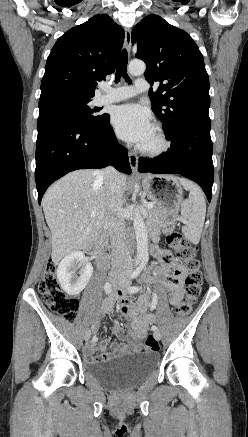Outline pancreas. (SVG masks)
<instances>
[{
  "mask_svg": "<svg viewBox=\"0 0 248 437\" xmlns=\"http://www.w3.org/2000/svg\"><path fill=\"white\" fill-rule=\"evenodd\" d=\"M151 208H146L148 212V222L151 225L154 233L160 232L161 225L165 219V211L161 209L155 202Z\"/></svg>",
  "mask_w": 248,
  "mask_h": 437,
  "instance_id": "pancreas-1",
  "label": "pancreas"
}]
</instances>
